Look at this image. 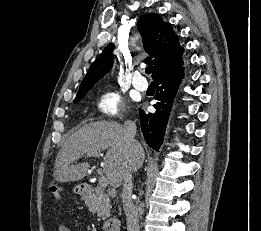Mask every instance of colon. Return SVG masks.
Instances as JSON below:
<instances>
[{
	"mask_svg": "<svg viewBox=\"0 0 261 231\" xmlns=\"http://www.w3.org/2000/svg\"><path fill=\"white\" fill-rule=\"evenodd\" d=\"M51 193L54 195L55 198L60 199L61 191L59 187L57 186L51 187Z\"/></svg>",
	"mask_w": 261,
	"mask_h": 231,
	"instance_id": "1",
	"label": "colon"
}]
</instances>
